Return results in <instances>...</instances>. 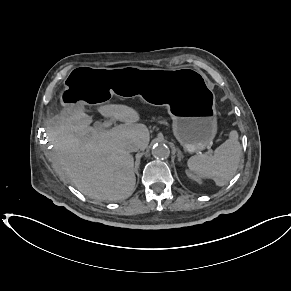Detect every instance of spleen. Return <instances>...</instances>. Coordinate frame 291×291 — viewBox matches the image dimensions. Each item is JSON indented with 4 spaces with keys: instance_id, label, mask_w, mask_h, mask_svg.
<instances>
[{
    "instance_id": "1",
    "label": "spleen",
    "mask_w": 291,
    "mask_h": 291,
    "mask_svg": "<svg viewBox=\"0 0 291 291\" xmlns=\"http://www.w3.org/2000/svg\"><path fill=\"white\" fill-rule=\"evenodd\" d=\"M242 155L238 133L232 130L229 139L217 147L213 155H194L187 166L199 178L212 179L217 186L226 185L236 174Z\"/></svg>"
}]
</instances>
